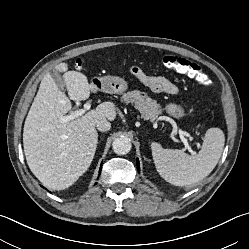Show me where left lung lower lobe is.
Masks as SVG:
<instances>
[{"label": "left lung lower lobe", "mask_w": 249, "mask_h": 249, "mask_svg": "<svg viewBox=\"0 0 249 249\" xmlns=\"http://www.w3.org/2000/svg\"><path fill=\"white\" fill-rule=\"evenodd\" d=\"M137 170H140V166H139V160L137 159Z\"/></svg>", "instance_id": "obj_1"}]
</instances>
